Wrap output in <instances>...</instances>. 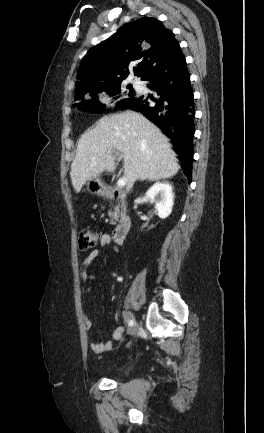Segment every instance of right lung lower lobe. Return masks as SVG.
Masks as SVG:
<instances>
[{
    "mask_svg": "<svg viewBox=\"0 0 264 433\" xmlns=\"http://www.w3.org/2000/svg\"><path fill=\"white\" fill-rule=\"evenodd\" d=\"M142 79L150 81L148 87L158 96L137 95L123 109L141 112L172 139L190 182L195 108L190 75L183 53L155 66Z\"/></svg>",
    "mask_w": 264,
    "mask_h": 433,
    "instance_id": "obj_1",
    "label": "right lung lower lobe"
}]
</instances>
